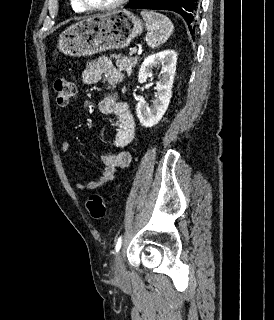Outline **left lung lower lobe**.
Here are the masks:
<instances>
[{"label":"left lung lower lobe","mask_w":274,"mask_h":320,"mask_svg":"<svg viewBox=\"0 0 274 320\" xmlns=\"http://www.w3.org/2000/svg\"><path fill=\"white\" fill-rule=\"evenodd\" d=\"M125 8L171 10L182 15L187 24H193L196 22L199 0H131Z\"/></svg>","instance_id":"left-lung-lower-lobe-1"}]
</instances>
